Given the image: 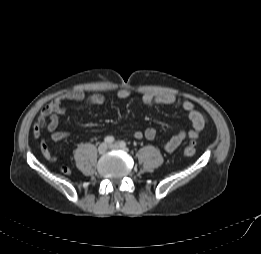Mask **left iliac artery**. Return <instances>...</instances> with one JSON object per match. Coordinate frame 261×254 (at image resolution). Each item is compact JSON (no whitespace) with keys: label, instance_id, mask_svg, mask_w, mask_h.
<instances>
[{"label":"left iliac artery","instance_id":"left-iliac-artery-1","mask_svg":"<svg viewBox=\"0 0 261 254\" xmlns=\"http://www.w3.org/2000/svg\"><path fill=\"white\" fill-rule=\"evenodd\" d=\"M120 146L123 147V148H125V147H126V143H125L124 141H121V142H120Z\"/></svg>","mask_w":261,"mask_h":254}]
</instances>
